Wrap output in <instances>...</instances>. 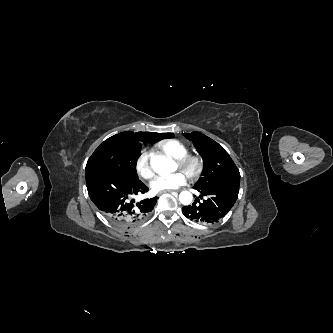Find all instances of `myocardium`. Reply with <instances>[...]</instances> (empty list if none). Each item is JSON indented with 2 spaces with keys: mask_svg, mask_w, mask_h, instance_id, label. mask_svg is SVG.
Wrapping results in <instances>:
<instances>
[{
  "mask_svg": "<svg viewBox=\"0 0 333 333\" xmlns=\"http://www.w3.org/2000/svg\"><path fill=\"white\" fill-rule=\"evenodd\" d=\"M178 165L192 178H198L204 169V161L198 155H186L177 160Z\"/></svg>",
  "mask_w": 333,
  "mask_h": 333,
  "instance_id": "1",
  "label": "myocardium"
}]
</instances>
